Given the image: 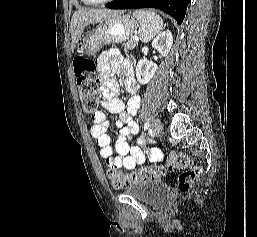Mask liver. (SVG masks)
Segmentation results:
<instances>
[{"instance_id": "obj_1", "label": "liver", "mask_w": 257, "mask_h": 237, "mask_svg": "<svg viewBox=\"0 0 257 237\" xmlns=\"http://www.w3.org/2000/svg\"><path fill=\"white\" fill-rule=\"evenodd\" d=\"M118 13L117 11L113 10H106V9H89V10H78L75 11L70 25L71 31V50L74 52L78 41L81 38V35L85 29V27L89 24L99 23L112 15Z\"/></svg>"}]
</instances>
